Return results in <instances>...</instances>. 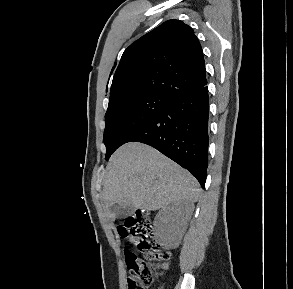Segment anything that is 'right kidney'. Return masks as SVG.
<instances>
[{"label":"right kidney","mask_w":293,"mask_h":289,"mask_svg":"<svg viewBox=\"0 0 293 289\" xmlns=\"http://www.w3.org/2000/svg\"><path fill=\"white\" fill-rule=\"evenodd\" d=\"M191 208L177 201L158 212L154 220L155 230L160 239L169 248L177 246L186 229Z\"/></svg>","instance_id":"obj_1"}]
</instances>
